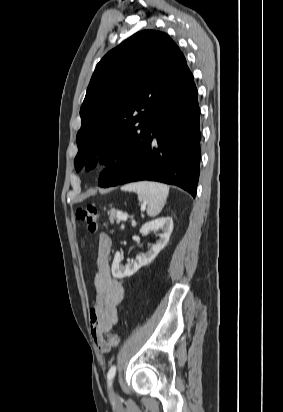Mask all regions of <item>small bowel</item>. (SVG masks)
<instances>
[{
    "instance_id": "obj_1",
    "label": "small bowel",
    "mask_w": 283,
    "mask_h": 412,
    "mask_svg": "<svg viewBox=\"0 0 283 412\" xmlns=\"http://www.w3.org/2000/svg\"><path fill=\"white\" fill-rule=\"evenodd\" d=\"M111 247V238L105 233L100 234L94 277L95 298L89 310V321L92 338L101 347L103 334L117 322V308L124 298L123 285L110 273Z\"/></svg>"
}]
</instances>
